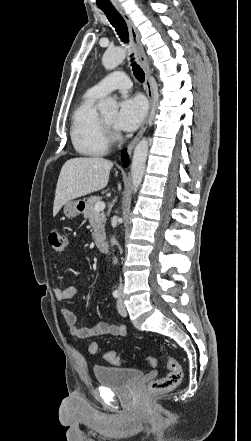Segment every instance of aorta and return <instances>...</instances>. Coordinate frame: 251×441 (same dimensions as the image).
Wrapping results in <instances>:
<instances>
[{"instance_id": "1", "label": "aorta", "mask_w": 251, "mask_h": 441, "mask_svg": "<svg viewBox=\"0 0 251 441\" xmlns=\"http://www.w3.org/2000/svg\"><path fill=\"white\" fill-rule=\"evenodd\" d=\"M125 57L126 51L122 48L107 50L102 57V63L107 70H112L116 68L125 59ZM98 109L102 114L114 115L118 111V104L115 99L109 97L99 104ZM148 148V140L146 138H143L136 145L133 152L131 177L134 192L137 191L144 176Z\"/></svg>"}]
</instances>
